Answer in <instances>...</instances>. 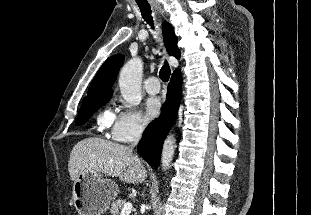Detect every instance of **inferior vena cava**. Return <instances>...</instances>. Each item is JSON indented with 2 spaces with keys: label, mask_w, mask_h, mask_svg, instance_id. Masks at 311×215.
Returning a JSON list of instances; mask_svg holds the SVG:
<instances>
[{
  "label": "inferior vena cava",
  "mask_w": 311,
  "mask_h": 215,
  "mask_svg": "<svg viewBox=\"0 0 311 215\" xmlns=\"http://www.w3.org/2000/svg\"><path fill=\"white\" fill-rule=\"evenodd\" d=\"M142 131H143L142 127H135L134 128V130L132 132V137H131L132 138L131 139L132 142H131V146H130L131 149L134 148L138 144V142L141 138Z\"/></svg>",
  "instance_id": "obj_1"
}]
</instances>
